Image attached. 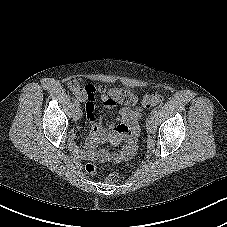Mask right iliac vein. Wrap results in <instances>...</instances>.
<instances>
[{"instance_id":"right-iliac-vein-1","label":"right iliac vein","mask_w":227,"mask_h":227,"mask_svg":"<svg viewBox=\"0 0 227 227\" xmlns=\"http://www.w3.org/2000/svg\"><path fill=\"white\" fill-rule=\"evenodd\" d=\"M81 115H82V112H81L80 107H76L75 110H74L73 120L74 121L79 120Z\"/></svg>"}]
</instances>
